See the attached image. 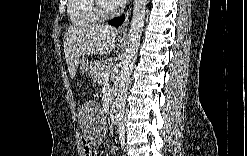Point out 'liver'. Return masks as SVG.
Here are the masks:
<instances>
[{"mask_svg":"<svg viewBox=\"0 0 247 156\" xmlns=\"http://www.w3.org/2000/svg\"><path fill=\"white\" fill-rule=\"evenodd\" d=\"M115 36L116 29L108 25L69 26L64 33V53L70 77H75L81 56L110 53Z\"/></svg>","mask_w":247,"mask_h":156,"instance_id":"6515ba94","label":"liver"}]
</instances>
